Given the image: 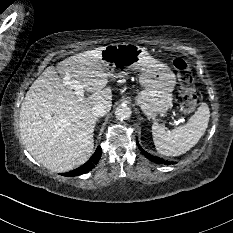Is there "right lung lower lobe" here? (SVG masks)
<instances>
[{"label":"right lung lower lobe","mask_w":233,"mask_h":233,"mask_svg":"<svg viewBox=\"0 0 233 233\" xmlns=\"http://www.w3.org/2000/svg\"><path fill=\"white\" fill-rule=\"evenodd\" d=\"M101 154H102L101 147H97L95 153L92 155V157L84 165H82L81 167H79L73 171L63 173L62 175H64V176H77V175H81V174H84V173L90 171L91 169L94 168V166L100 160Z\"/></svg>","instance_id":"98d812e1"}]
</instances>
